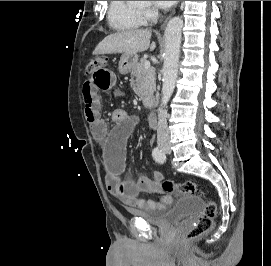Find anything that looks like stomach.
Returning a JSON list of instances; mask_svg holds the SVG:
<instances>
[{"label": "stomach", "instance_id": "stomach-1", "mask_svg": "<svg viewBox=\"0 0 271 266\" xmlns=\"http://www.w3.org/2000/svg\"><path fill=\"white\" fill-rule=\"evenodd\" d=\"M138 62V55L136 53L127 54L123 53L119 61V72L127 74L130 72Z\"/></svg>", "mask_w": 271, "mask_h": 266}]
</instances>
